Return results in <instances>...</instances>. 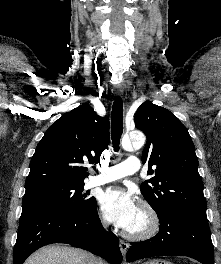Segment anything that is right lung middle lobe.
Here are the masks:
<instances>
[{
    "instance_id": "1",
    "label": "right lung middle lobe",
    "mask_w": 221,
    "mask_h": 264,
    "mask_svg": "<svg viewBox=\"0 0 221 264\" xmlns=\"http://www.w3.org/2000/svg\"><path fill=\"white\" fill-rule=\"evenodd\" d=\"M84 183L55 182L26 189L22 208H41L63 212L84 211L96 203L94 197L82 193Z\"/></svg>"
}]
</instances>
